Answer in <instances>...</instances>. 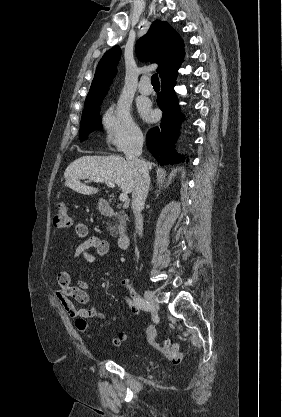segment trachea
I'll return each instance as SVG.
<instances>
[{"mask_svg":"<svg viewBox=\"0 0 282 417\" xmlns=\"http://www.w3.org/2000/svg\"><path fill=\"white\" fill-rule=\"evenodd\" d=\"M151 83H152L153 87H154V86H156V87H160V82H159V78H158L157 73H154V74L152 75V77H151Z\"/></svg>","mask_w":282,"mask_h":417,"instance_id":"obj_1","label":"trachea"}]
</instances>
